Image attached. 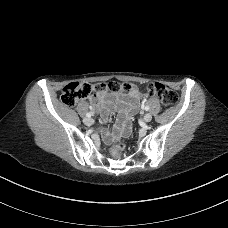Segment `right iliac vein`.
<instances>
[{"mask_svg": "<svg viewBox=\"0 0 228 228\" xmlns=\"http://www.w3.org/2000/svg\"><path fill=\"white\" fill-rule=\"evenodd\" d=\"M83 122H84L85 125L91 126L94 123V120L92 118H90V117H87V118L83 119Z\"/></svg>", "mask_w": 228, "mask_h": 228, "instance_id": "right-iliac-vein-1", "label": "right iliac vein"}]
</instances>
